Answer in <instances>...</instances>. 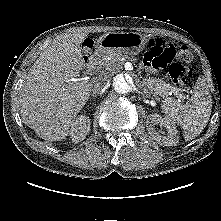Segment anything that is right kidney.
<instances>
[{"instance_id":"1","label":"right kidney","mask_w":221,"mask_h":221,"mask_svg":"<svg viewBox=\"0 0 221 221\" xmlns=\"http://www.w3.org/2000/svg\"><path fill=\"white\" fill-rule=\"evenodd\" d=\"M91 121L90 118L85 115H79L71 123L70 136L72 142L79 143L83 141L90 131Z\"/></svg>"}]
</instances>
